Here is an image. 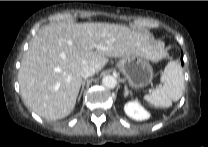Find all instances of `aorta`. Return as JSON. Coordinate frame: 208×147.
<instances>
[{
  "label": "aorta",
  "instance_id": "762f6f07",
  "mask_svg": "<svg viewBox=\"0 0 208 147\" xmlns=\"http://www.w3.org/2000/svg\"><path fill=\"white\" fill-rule=\"evenodd\" d=\"M102 84L106 88L113 89L117 84V80L113 76L107 75L102 78Z\"/></svg>",
  "mask_w": 208,
  "mask_h": 147
}]
</instances>
